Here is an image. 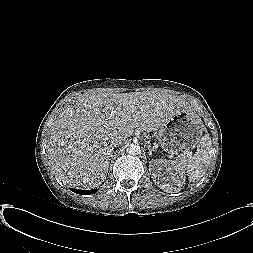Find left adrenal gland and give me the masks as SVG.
<instances>
[{
    "label": "left adrenal gland",
    "instance_id": "obj_1",
    "mask_svg": "<svg viewBox=\"0 0 253 253\" xmlns=\"http://www.w3.org/2000/svg\"><path fill=\"white\" fill-rule=\"evenodd\" d=\"M148 150H149L150 155L152 154V151H154V149L150 145L148 146Z\"/></svg>",
    "mask_w": 253,
    "mask_h": 253
}]
</instances>
